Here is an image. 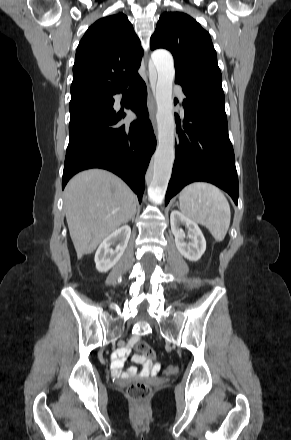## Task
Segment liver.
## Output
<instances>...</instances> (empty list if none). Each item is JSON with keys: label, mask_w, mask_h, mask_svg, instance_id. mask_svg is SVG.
<instances>
[{"label": "liver", "mask_w": 291, "mask_h": 440, "mask_svg": "<svg viewBox=\"0 0 291 440\" xmlns=\"http://www.w3.org/2000/svg\"><path fill=\"white\" fill-rule=\"evenodd\" d=\"M137 197L116 175L89 169L75 175L64 190V209L77 258L97 246L136 213Z\"/></svg>", "instance_id": "liver-1"}]
</instances>
